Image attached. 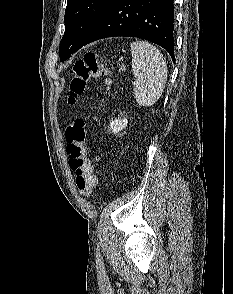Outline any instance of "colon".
<instances>
[{"instance_id":"obj_1","label":"colon","mask_w":233,"mask_h":294,"mask_svg":"<svg viewBox=\"0 0 233 294\" xmlns=\"http://www.w3.org/2000/svg\"><path fill=\"white\" fill-rule=\"evenodd\" d=\"M106 76V69L94 52H86L73 66V76L70 81L68 103L75 104L77 98L85 91L88 83L97 77ZM110 79L106 78V85ZM67 152L69 164L76 174V182L80 194L89 198L97 184L94 168L89 158L86 144V119L77 117L66 130Z\"/></svg>"}]
</instances>
